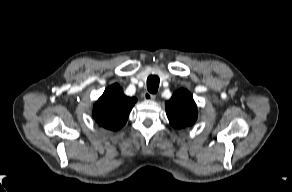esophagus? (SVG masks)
<instances>
[{
	"label": "esophagus",
	"instance_id": "1",
	"mask_svg": "<svg viewBox=\"0 0 292 192\" xmlns=\"http://www.w3.org/2000/svg\"><path fill=\"white\" fill-rule=\"evenodd\" d=\"M143 97H144L145 100H155L156 95L155 94H151L149 92H145L143 94Z\"/></svg>",
	"mask_w": 292,
	"mask_h": 192
}]
</instances>
